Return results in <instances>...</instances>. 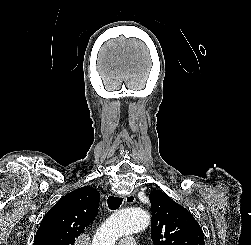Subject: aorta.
<instances>
[{"label": "aorta", "mask_w": 251, "mask_h": 245, "mask_svg": "<svg viewBox=\"0 0 251 245\" xmlns=\"http://www.w3.org/2000/svg\"><path fill=\"white\" fill-rule=\"evenodd\" d=\"M150 223L149 214L139 208H127L111 215L98 229L92 245H115L123 236L144 230Z\"/></svg>", "instance_id": "aorta-1"}]
</instances>
